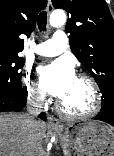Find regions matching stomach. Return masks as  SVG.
Listing matches in <instances>:
<instances>
[{
  "instance_id": "0dacf381",
  "label": "stomach",
  "mask_w": 114,
  "mask_h": 156,
  "mask_svg": "<svg viewBox=\"0 0 114 156\" xmlns=\"http://www.w3.org/2000/svg\"><path fill=\"white\" fill-rule=\"evenodd\" d=\"M56 131L64 156H114V132L105 123L73 122Z\"/></svg>"
}]
</instances>
